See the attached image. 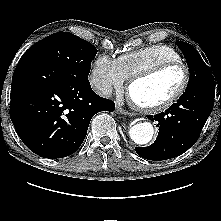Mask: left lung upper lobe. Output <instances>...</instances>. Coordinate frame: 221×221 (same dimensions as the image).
Here are the masks:
<instances>
[{"label": "left lung upper lobe", "mask_w": 221, "mask_h": 221, "mask_svg": "<svg viewBox=\"0 0 221 221\" xmlns=\"http://www.w3.org/2000/svg\"><path fill=\"white\" fill-rule=\"evenodd\" d=\"M179 49L184 54L190 71V78L186 90L214 81L212 74L197 50L190 44L177 41Z\"/></svg>", "instance_id": "1"}]
</instances>
